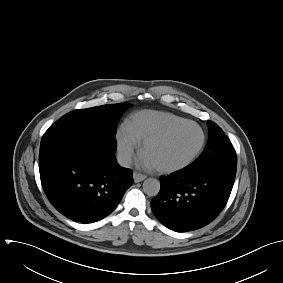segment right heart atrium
I'll use <instances>...</instances> for the list:
<instances>
[{"label": "right heart atrium", "instance_id": "obj_1", "mask_svg": "<svg viewBox=\"0 0 283 283\" xmlns=\"http://www.w3.org/2000/svg\"><path fill=\"white\" fill-rule=\"evenodd\" d=\"M115 142L120 159L128 164L132 161L137 149L136 141L128 134L124 127L117 130Z\"/></svg>", "mask_w": 283, "mask_h": 283}]
</instances>
